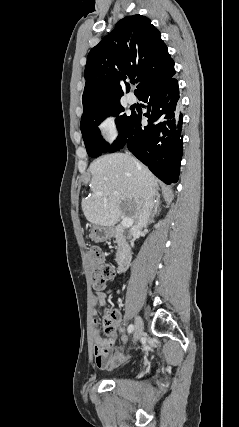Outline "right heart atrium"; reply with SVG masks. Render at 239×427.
Here are the masks:
<instances>
[{"instance_id": "1", "label": "right heart atrium", "mask_w": 239, "mask_h": 427, "mask_svg": "<svg viewBox=\"0 0 239 427\" xmlns=\"http://www.w3.org/2000/svg\"><path fill=\"white\" fill-rule=\"evenodd\" d=\"M98 128L103 139L108 143L114 142L119 136L117 119L112 115L102 118L98 124Z\"/></svg>"}]
</instances>
